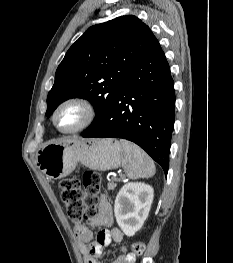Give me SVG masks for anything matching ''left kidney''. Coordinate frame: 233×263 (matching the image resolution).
<instances>
[{"label": "left kidney", "mask_w": 233, "mask_h": 263, "mask_svg": "<svg viewBox=\"0 0 233 263\" xmlns=\"http://www.w3.org/2000/svg\"><path fill=\"white\" fill-rule=\"evenodd\" d=\"M154 197L151 186L141 182L125 184L117 194L114 213L126 236H134L147 219Z\"/></svg>", "instance_id": "left-kidney-1"}]
</instances>
